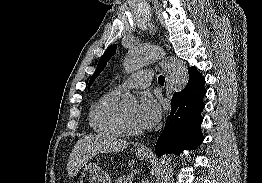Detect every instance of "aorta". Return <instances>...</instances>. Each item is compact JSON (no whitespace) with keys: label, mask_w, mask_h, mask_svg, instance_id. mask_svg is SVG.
<instances>
[{"label":"aorta","mask_w":262,"mask_h":183,"mask_svg":"<svg viewBox=\"0 0 262 183\" xmlns=\"http://www.w3.org/2000/svg\"><path fill=\"white\" fill-rule=\"evenodd\" d=\"M163 56L162 49L157 45H149L144 47H132L128 50L125 58V69L128 72L137 71L143 66L158 61ZM168 68V83L173 92L182 91L189 80L188 70L183 61L176 57H170L167 63ZM137 99L129 92L122 96V106L130 108L136 106ZM171 160L164 155L158 164L157 172L158 179L162 180L167 177L171 171ZM163 183V181L161 182Z\"/></svg>","instance_id":"obj_1"}]
</instances>
